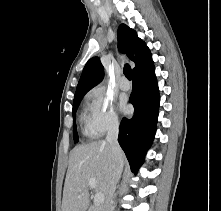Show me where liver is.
Instances as JSON below:
<instances>
[{
  "label": "liver",
  "mask_w": 221,
  "mask_h": 211,
  "mask_svg": "<svg viewBox=\"0 0 221 211\" xmlns=\"http://www.w3.org/2000/svg\"><path fill=\"white\" fill-rule=\"evenodd\" d=\"M125 163V155H122ZM113 156L107 141L99 140L75 147L69 157L62 211H86L90 204L88 180H96L95 190L106 199L113 173Z\"/></svg>",
  "instance_id": "liver-1"
}]
</instances>
